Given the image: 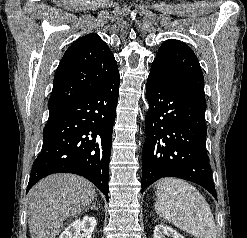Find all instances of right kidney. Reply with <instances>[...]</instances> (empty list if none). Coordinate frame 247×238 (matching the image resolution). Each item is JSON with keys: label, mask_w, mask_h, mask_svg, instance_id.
<instances>
[{"label": "right kidney", "mask_w": 247, "mask_h": 238, "mask_svg": "<svg viewBox=\"0 0 247 238\" xmlns=\"http://www.w3.org/2000/svg\"><path fill=\"white\" fill-rule=\"evenodd\" d=\"M97 221L95 217L85 216L82 220L77 219L73 221L65 230L61 233L59 238H79L80 231H84L86 234H93Z\"/></svg>", "instance_id": "1"}]
</instances>
